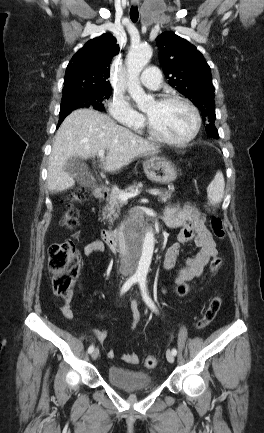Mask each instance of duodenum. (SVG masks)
<instances>
[{"label":"duodenum","mask_w":264,"mask_h":433,"mask_svg":"<svg viewBox=\"0 0 264 433\" xmlns=\"http://www.w3.org/2000/svg\"><path fill=\"white\" fill-rule=\"evenodd\" d=\"M93 196L97 200H103L106 197V193L100 188H95L93 190ZM101 235L109 248L116 251L121 250L122 269L126 272L131 271L130 260L133 257V253L124 246L123 227L120 226L114 230L103 229Z\"/></svg>","instance_id":"410a0bca"}]
</instances>
